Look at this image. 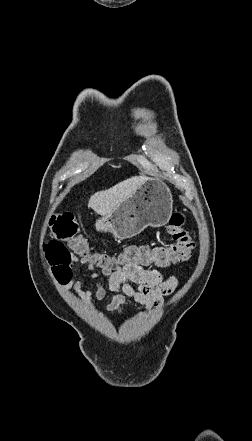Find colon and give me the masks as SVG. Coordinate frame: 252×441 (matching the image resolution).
<instances>
[{
	"mask_svg": "<svg viewBox=\"0 0 252 441\" xmlns=\"http://www.w3.org/2000/svg\"><path fill=\"white\" fill-rule=\"evenodd\" d=\"M51 231L55 238L43 249L53 275L58 280L69 273L73 256L86 257L96 266L117 268L129 265L168 267L189 259L195 246L191 233L184 227L181 214L172 215L168 231L173 242L165 246L131 245L115 255L92 253L87 240L78 234V225L71 214H56L51 218ZM65 241L68 243L65 244Z\"/></svg>",
	"mask_w": 252,
	"mask_h": 441,
	"instance_id": "obj_1",
	"label": "colon"
}]
</instances>
